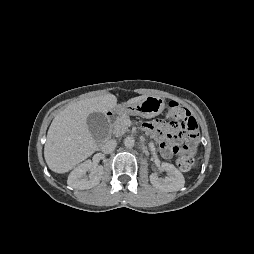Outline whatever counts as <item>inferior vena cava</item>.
<instances>
[{
    "label": "inferior vena cava",
    "instance_id": "602c4592",
    "mask_svg": "<svg viewBox=\"0 0 254 254\" xmlns=\"http://www.w3.org/2000/svg\"><path fill=\"white\" fill-rule=\"evenodd\" d=\"M117 146V141L114 139L108 140L106 141L103 145H102V152L105 154L111 153L114 151V149Z\"/></svg>",
    "mask_w": 254,
    "mask_h": 254
}]
</instances>
